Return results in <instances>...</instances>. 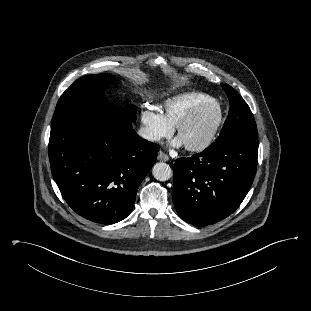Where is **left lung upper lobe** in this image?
I'll use <instances>...</instances> for the list:
<instances>
[{"label": "left lung upper lobe", "instance_id": "1", "mask_svg": "<svg viewBox=\"0 0 311 311\" xmlns=\"http://www.w3.org/2000/svg\"><path fill=\"white\" fill-rule=\"evenodd\" d=\"M226 92L230 109L216 144L237 137L257 138V126L254 116L241 95L227 84H221Z\"/></svg>", "mask_w": 311, "mask_h": 311}]
</instances>
